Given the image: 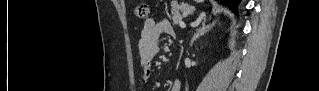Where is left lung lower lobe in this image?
<instances>
[{
    "label": "left lung lower lobe",
    "mask_w": 319,
    "mask_h": 91,
    "mask_svg": "<svg viewBox=\"0 0 319 91\" xmlns=\"http://www.w3.org/2000/svg\"><path fill=\"white\" fill-rule=\"evenodd\" d=\"M240 0H224V3L234 11V13L238 14L237 5Z\"/></svg>",
    "instance_id": "0a47b994"
}]
</instances>
